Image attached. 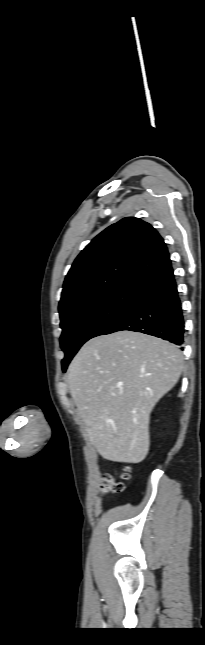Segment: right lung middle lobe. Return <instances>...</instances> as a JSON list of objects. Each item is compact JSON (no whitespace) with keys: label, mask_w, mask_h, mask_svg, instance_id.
Segmentation results:
<instances>
[{"label":"right lung middle lobe","mask_w":205,"mask_h":645,"mask_svg":"<svg viewBox=\"0 0 205 645\" xmlns=\"http://www.w3.org/2000/svg\"><path fill=\"white\" fill-rule=\"evenodd\" d=\"M143 286L123 284L109 291L85 297L60 310L62 369L89 339L101 335L126 313L142 295Z\"/></svg>","instance_id":"1"}]
</instances>
